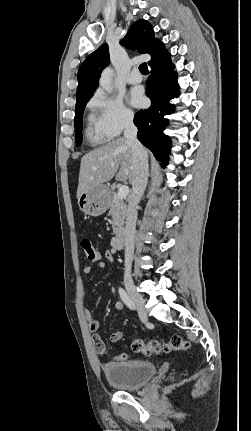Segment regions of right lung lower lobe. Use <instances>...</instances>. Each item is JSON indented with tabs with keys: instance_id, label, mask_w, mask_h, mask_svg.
<instances>
[{
	"instance_id": "right-lung-lower-lobe-1",
	"label": "right lung lower lobe",
	"mask_w": 251,
	"mask_h": 431,
	"mask_svg": "<svg viewBox=\"0 0 251 431\" xmlns=\"http://www.w3.org/2000/svg\"><path fill=\"white\" fill-rule=\"evenodd\" d=\"M150 67L152 70L147 81L146 95L151 99V106L135 114L134 124L138 128V139L165 166L171 142L163 134L168 124L164 116L174 111V105L169 104V101L179 95V86L170 56Z\"/></svg>"
}]
</instances>
